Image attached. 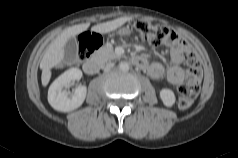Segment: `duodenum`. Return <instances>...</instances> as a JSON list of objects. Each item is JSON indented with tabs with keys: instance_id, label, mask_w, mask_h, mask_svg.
I'll return each mask as SVG.
<instances>
[{
	"instance_id": "410a0bca",
	"label": "duodenum",
	"mask_w": 238,
	"mask_h": 158,
	"mask_svg": "<svg viewBox=\"0 0 238 158\" xmlns=\"http://www.w3.org/2000/svg\"><path fill=\"white\" fill-rule=\"evenodd\" d=\"M133 63L137 67L142 68V69L147 67L146 60L144 58H141V57H135L133 59ZM83 70L88 75H93V74L97 73V71L99 70V64L96 60H88L84 63Z\"/></svg>"
}]
</instances>
